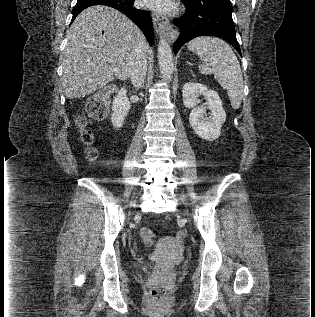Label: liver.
Returning a JSON list of instances; mask_svg holds the SVG:
<instances>
[{
    "label": "liver",
    "mask_w": 315,
    "mask_h": 317,
    "mask_svg": "<svg viewBox=\"0 0 315 317\" xmlns=\"http://www.w3.org/2000/svg\"><path fill=\"white\" fill-rule=\"evenodd\" d=\"M67 39L62 85L69 99L94 93L114 76L127 79L137 49L146 41L131 20L107 6L82 11L68 29ZM113 67L119 69L118 74L111 70Z\"/></svg>",
    "instance_id": "6515ba94"
}]
</instances>
